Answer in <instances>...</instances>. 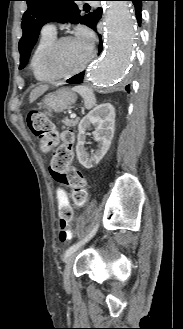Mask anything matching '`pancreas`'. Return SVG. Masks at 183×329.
I'll return each instance as SVG.
<instances>
[{
  "label": "pancreas",
  "mask_w": 183,
  "mask_h": 329,
  "mask_svg": "<svg viewBox=\"0 0 183 329\" xmlns=\"http://www.w3.org/2000/svg\"><path fill=\"white\" fill-rule=\"evenodd\" d=\"M63 126L62 129H65L66 127H75L78 123V120H69V119H63L62 120Z\"/></svg>",
  "instance_id": "pancreas-1"
}]
</instances>
